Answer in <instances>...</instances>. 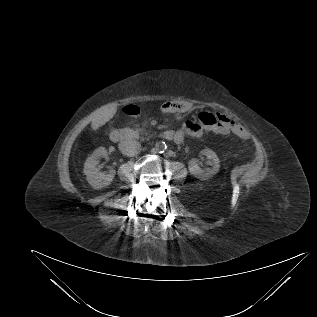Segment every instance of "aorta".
I'll use <instances>...</instances> for the list:
<instances>
[{
  "label": "aorta",
  "mask_w": 317,
  "mask_h": 317,
  "mask_svg": "<svg viewBox=\"0 0 317 317\" xmlns=\"http://www.w3.org/2000/svg\"><path fill=\"white\" fill-rule=\"evenodd\" d=\"M165 145L163 143H157L156 144V149L157 150H164Z\"/></svg>",
  "instance_id": "aorta-1"
}]
</instances>
